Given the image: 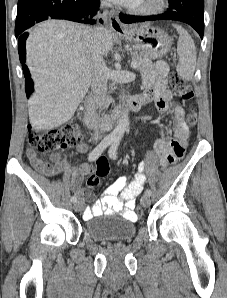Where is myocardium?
<instances>
[{
  "label": "myocardium",
  "instance_id": "f54148a6",
  "mask_svg": "<svg viewBox=\"0 0 227 298\" xmlns=\"http://www.w3.org/2000/svg\"><path fill=\"white\" fill-rule=\"evenodd\" d=\"M165 6L166 0H155L150 6L132 5L130 6L129 11L135 15L153 16L160 14L165 9Z\"/></svg>",
  "mask_w": 227,
  "mask_h": 298
}]
</instances>
